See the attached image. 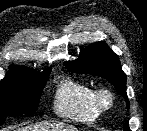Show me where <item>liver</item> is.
Returning a JSON list of instances; mask_svg holds the SVG:
<instances>
[{
    "label": "liver",
    "instance_id": "obj_1",
    "mask_svg": "<svg viewBox=\"0 0 147 131\" xmlns=\"http://www.w3.org/2000/svg\"><path fill=\"white\" fill-rule=\"evenodd\" d=\"M18 131H78V129L63 122H40L19 128Z\"/></svg>",
    "mask_w": 147,
    "mask_h": 131
}]
</instances>
